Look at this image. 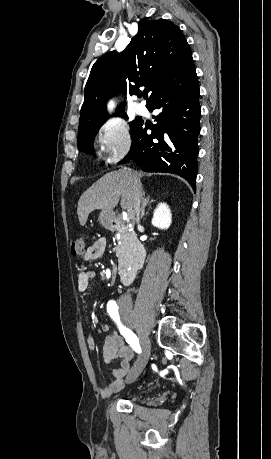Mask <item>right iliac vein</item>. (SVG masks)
Returning a JSON list of instances; mask_svg holds the SVG:
<instances>
[{
	"instance_id": "right-iliac-vein-1",
	"label": "right iliac vein",
	"mask_w": 271,
	"mask_h": 459,
	"mask_svg": "<svg viewBox=\"0 0 271 459\" xmlns=\"http://www.w3.org/2000/svg\"><path fill=\"white\" fill-rule=\"evenodd\" d=\"M122 315L125 318L126 322L129 325H131L132 327L135 328L134 319H133V315H132V310L124 309L122 311ZM141 344H142V351L143 352L138 357L137 361L135 362V364L133 365V367L131 368V370L128 373V377H127V382L128 383H131V382H133L134 380H136L138 378V376L142 373V370L146 366L147 360H148V358L150 356V353H151V343H150V341L148 339H146V338H142L141 339Z\"/></svg>"
}]
</instances>
